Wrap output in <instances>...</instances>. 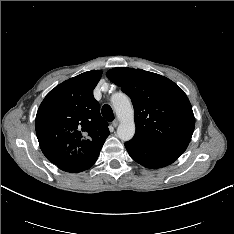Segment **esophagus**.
<instances>
[{
	"mask_svg": "<svg viewBox=\"0 0 234 234\" xmlns=\"http://www.w3.org/2000/svg\"><path fill=\"white\" fill-rule=\"evenodd\" d=\"M119 124V121L117 119H115L113 122H112V125L113 127H117Z\"/></svg>",
	"mask_w": 234,
	"mask_h": 234,
	"instance_id": "1",
	"label": "esophagus"
}]
</instances>
